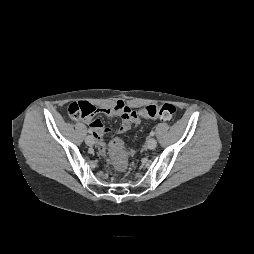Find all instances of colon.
Returning <instances> with one entry per match:
<instances>
[{"label":"colon","instance_id":"colon-1","mask_svg":"<svg viewBox=\"0 0 254 254\" xmlns=\"http://www.w3.org/2000/svg\"><path fill=\"white\" fill-rule=\"evenodd\" d=\"M95 112V107L86 102H75L67 107V114L73 120H91ZM135 112L143 118L159 119L164 122H169L174 118L176 109L172 104L160 103L144 106ZM112 149L117 167L124 169L126 167V161L121 151L120 142L115 141Z\"/></svg>","mask_w":254,"mask_h":254}]
</instances>
